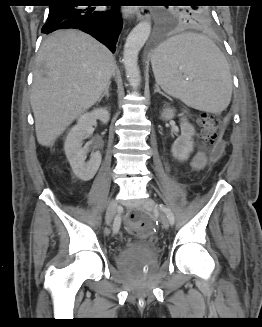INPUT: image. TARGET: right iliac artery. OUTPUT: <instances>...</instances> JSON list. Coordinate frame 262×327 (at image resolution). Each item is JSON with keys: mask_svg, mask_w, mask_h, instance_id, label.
<instances>
[{"mask_svg": "<svg viewBox=\"0 0 262 327\" xmlns=\"http://www.w3.org/2000/svg\"><path fill=\"white\" fill-rule=\"evenodd\" d=\"M120 223H121L120 217L116 216L114 223H113V232L114 233H117L119 231Z\"/></svg>", "mask_w": 262, "mask_h": 327, "instance_id": "obj_1", "label": "right iliac artery"}]
</instances>
